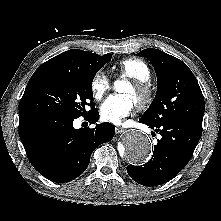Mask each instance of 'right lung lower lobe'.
Masks as SVG:
<instances>
[{
  "label": "right lung lower lobe",
  "mask_w": 221,
  "mask_h": 221,
  "mask_svg": "<svg viewBox=\"0 0 221 221\" xmlns=\"http://www.w3.org/2000/svg\"><path fill=\"white\" fill-rule=\"evenodd\" d=\"M85 117L96 123L99 113L95 109ZM19 120V135L29 161L41 175L58 183L81 175L95 148L115 134L110 123L74 129V118L51 112L24 111Z\"/></svg>",
  "instance_id": "98d812e1"
}]
</instances>
